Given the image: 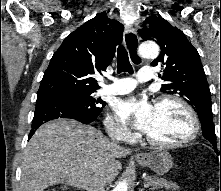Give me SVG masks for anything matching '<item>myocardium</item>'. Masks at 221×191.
<instances>
[{"instance_id": "obj_1", "label": "myocardium", "mask_w": 221, "mask_h": 191, "mask_svg": "<svg viewBox=\"0 0 221 191\" xmlns=\"http://www.w3.org/2000/svg\"><path fill=\"white\" fill-rule=\"evenodd\" d=\"M164 102H173L179 105L180 107H182L186 111L191 122L190 132L184 138L177 140V141H172V142L155 140L152 137H150L148 134H146L145 138L147 142L153 146L161 147V148H178V147L185 146L189 144L190 142L194 141L198 137L199 132H200V121L194 108L181 97L172 95V94L160 95L155 100V106H158Z\"/></svg>"}]
</instances>
